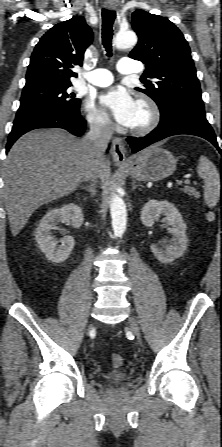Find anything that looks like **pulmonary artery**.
<instances>
[{"label":"pulmonary artery","instance_id":"pulmonary-artery-1","mask_svg":"<svg viewBox=\"0 0 222 447\" xmlns=\"http://www.w3.org/2000/svg\"><path fill=\"white\" fill-rule=\"evenodd\" d=\"M122 75H133L141 73L142 69L134 60L122 59L117 66ZM113 75L110 71L102 68L95 69L86 75V81L97 87H105L113 82Z\"/></svg>","mask_w":222,"mask_h":447}]
</instances>
